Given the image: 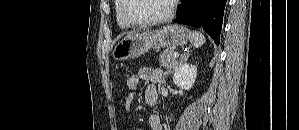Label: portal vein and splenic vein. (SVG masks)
<instances>
[{
	"mask_svg": "<svg viewBox=\"0 0 299 130\" xmlns=\"http://www.w3.org/2000/svg\"><path fill=\"white\" fill-rule=\"evenodd\" d=\"M179 53L178 52H174L173 57H178Z\"/></svg>",
	"mask_w": 299,
	"mask_h": 130,
	"instance_id": "obj_1",
	"label": "portal vein and splenic vein"
}]
</instances>
